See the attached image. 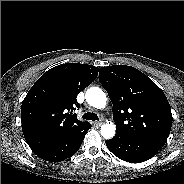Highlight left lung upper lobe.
<instances>
[{
    "mask_svg": "<svg viewBox=\"0 0 184 184\" xmlns=\"http://www.w3.org/2000/svg\"><path fill=\"white\" fill-rule=\"evenodd\" d=\"M99 81L113 103L116 129L159 151L172 126L171 107L163 91L127 65L100 68Z\"/></svg>",
    "mask_w": 184,
    "mask_h": 184,
    "instance_id": "5c2ea615",
    "label": "left lung upper lobe"
}]
</instances>
